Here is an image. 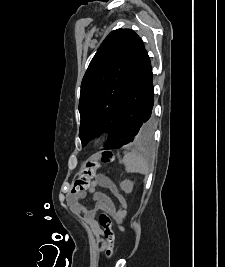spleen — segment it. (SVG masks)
Returning a JSON list of instances; mask_svg holds the SVG:
<instances>
[{
    "mask_svg": "<svg viewBox=\"0 0 225 267\" xmlns=\"http://www.w3.org/2000/svg\"><path fill=\"white\" fill-rule=\"evenodd\" d=\"M123 162L128 173H140L147 176L150 172L147 161L137 152H124Z\"/></svg>",
    "mask_w": 225,
    "mask_h": 267,
    "instance_id": "1",
    "label": "spleen"
}]
</instances>
